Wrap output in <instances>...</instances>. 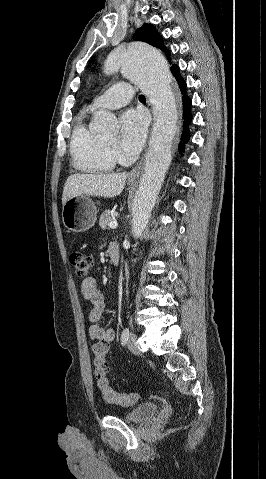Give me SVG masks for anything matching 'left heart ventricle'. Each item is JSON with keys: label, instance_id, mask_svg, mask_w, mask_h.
Instances as JSON below:
<instances>
[{"label": "left heart ventricle", "instance_id": "b2bd125f", "mask_svg": "<svg viewBox=\"0 0 266 479\" xmlns=\"http://www.w3.org/2000/svg\"><path fill=\"white\" fill-rule=\"evenodd\" d=\"M105 140L108 141V142H110V143L115 144V143H116V135H112V136L106 137Z\"/></svg>", "mask_w": 266, "mask_h": 479}]
</instances>
